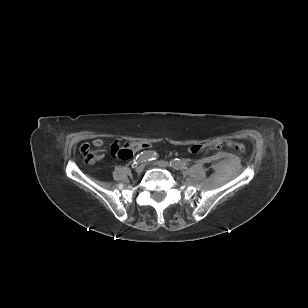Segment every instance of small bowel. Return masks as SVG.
Listing matches in <instances>:
<instances>
[{"mask_svg":"<svg viewBox=\"0 0 308 308\" xmlns=\"http://www.w3.org/2000/svg\"><path fill=\"white\" fill-rule=\"evenodd\" d=\"M134 143H140V142H134ZM93 145L95 147H102L104 145V141L101 138H96V139L93 140ZM118 146H119V144L115 143V144H113L112 149H115Z\"/></svg>","mask_w":308,"mask_h":308,"instance_id":"small-bowel-1","label":"small bowel"}]
</instances>
